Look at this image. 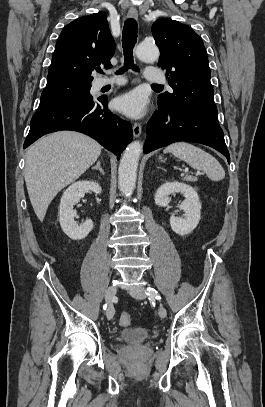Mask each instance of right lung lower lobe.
<instances>
[{
  "instance_id": "obj_1",
  "label": "right lung lower lobe",
  "mask_w": 265,
  "mask_h": 407,
  "mask_svg": "<svg viewBox=\"0 0 265 407\" xmlns=\"http://www.w3.org/2000/svg\"><path fill=\"white\" fill-rule=\"evenodd\" d=\"M107 105V98H91L37 111L31 119L24 148L47 133L73 130L94 138L119 158L132 141V128L129 122L112 114Z\"/></svg>"
}]
</instances>
